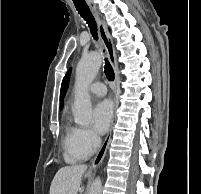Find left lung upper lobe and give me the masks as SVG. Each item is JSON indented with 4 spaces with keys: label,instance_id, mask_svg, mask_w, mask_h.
I'll return each mask as SVG.
<instances>
[{
    "label": "left lung upper lobe",
    "instance_id": "1",
    "mask_svg": "<svg viewBox=\"0 0 201 194\" xmlns=\"http://www.w3.org/2000/svg\"><path fill=\"white\" fill-rule=\"evenodd\" d=\"M69 75H70V70L68 71V73L65 75L63 81H62V85H61V95H60V99L63 98L65 92H66V88L68 85V80H69Z\"/></svg>",
    "mask_w": 201,
    "mask_h": 194
}]
</instances>
